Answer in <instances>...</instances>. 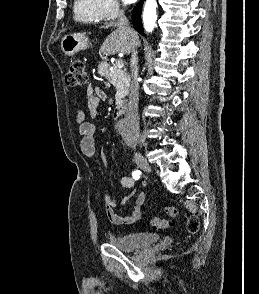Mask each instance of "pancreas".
Returning <instances> with one entry per match:
<instances>
[{"label":"pancreas","instance_id":"cf45deb5","mask_svg":"<svg viewBox=\"0 0 259 294\" xmlns=\"http://www.w3.org/2000/svg\"><path fill=\"white\" fill-rule=\"evenodd\" d=\"M99 74L105 77L116 88V103L122 105L125 96L128 94L129 76L126 70L117 68L111 69L110 64L103 61L98 66Z\"/></svg>","mask_w":259,"mask_h":294}]
</instances>
